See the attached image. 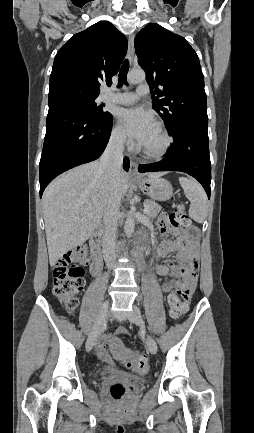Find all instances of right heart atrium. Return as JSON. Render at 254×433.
<instances>
[{
    "label": "right heart atrium",
    "mask_w": 254,
    "mask_h": 433,
    "mask_svg": "<svg viewBox=\"0 0 254 433\" xmlns=\"http://www.w3.org/2000/svg\"><path fill=\"white\" fill-rule=\"evenodd\" d=\"M110 141L116 146H123L127 143L126 136L118 124L114 125L111 129Z\"/></svg>",
    "instance_id": "d8ad5b80"
}]
</instances>
